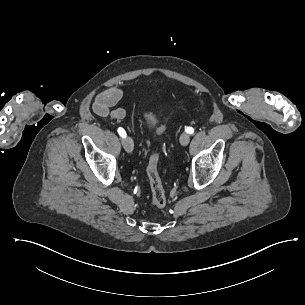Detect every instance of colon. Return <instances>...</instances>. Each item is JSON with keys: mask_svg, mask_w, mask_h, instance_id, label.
<instances>
[{"mask_svg": "<svg viewBox=\"0 0 305 305\" xmlns=\"http://www.w3.org/2000/svg\"><path fill=\"white\" fill-rule=\"evenodd\" d=\"M202 104L205 101L201 100ZM164 121H168V117H164ZM158 154H153L147 166V176L151 190V204L156 208H164L167 203V196L162 186L161 178L158 172Z\"/></svg>", "mask_w": 305, "mask_h": 305, "instance_id": "1", "label": "colon"}]
</instances>
